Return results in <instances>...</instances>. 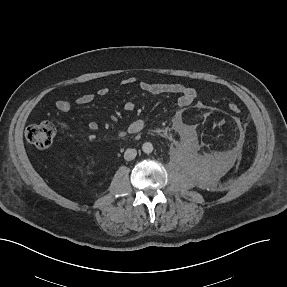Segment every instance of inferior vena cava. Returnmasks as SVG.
<instances>
[{
	"label": "inferior vena cava",
	"mask_w": 287,
	"mask_h": 287,
	"mask_svg": "<svg viewBox=\"0 0 287 287\" xmlns=\"http://www.w3.org/2000/svg\"><path fill=\"white\" fill-rule=\"evenodd\" d=\"M137 155V151L135 149H127L124 153V159L127 161L133 160Z\"/></svg>",
	"instance_id": "obj_1"
}]
</instances>
